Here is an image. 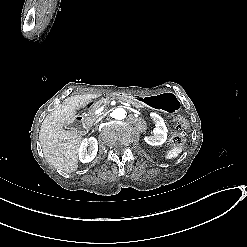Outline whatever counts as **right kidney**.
<instances>
[{"label":"right kidney","instance_id":"obj_1","mask_svg":"<svg viewBox=\"0 0 247 247\" xmlns=\"http://www.w3.org/2000/svg\"><path fill=\"white\" fill-rule=\"evenodd\" d=\"M98 142L95 137L85 138L79 148V160L82 163L91 162L97 155Z\"/></svg>","mask_w":247,"mask_h":247}]
</instances>
